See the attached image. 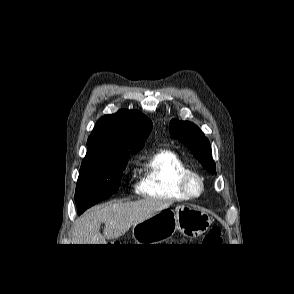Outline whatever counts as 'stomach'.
Wrapping results in <instances>:
<instances>
[{"instance_id":"stomach-1","label":"stomach","mask_w":294,"mask_h":294,"mask_svg":"<svg viewBox=\"0 0 294 294\" xmlns=\"http://www.w3.org/2000/svg\"><path fill=\"white\" fill-rule=\"evenodd\" d=\"M209 215L201 210L181 205L175 210L166 208L152 217L133 226L132 235L136 244H161L176 231L185 237L196 238L210 226Z\"/></svg>"}]
</instances>
